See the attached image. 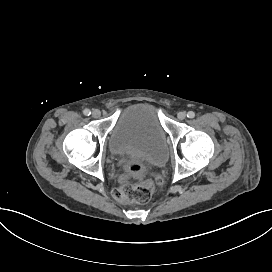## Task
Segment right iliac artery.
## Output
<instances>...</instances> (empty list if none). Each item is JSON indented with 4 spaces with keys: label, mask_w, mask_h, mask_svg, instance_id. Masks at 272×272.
Listing matches in <instances>:
<instances>
[{
    "label": "right iliac artery",
    "mask_w": 272,
    "mask_h": 272,
    "mask_svg": "<svg viewBox=\"0 0 272 272\" xmlns=\"http://www.w3.org/2000/svg\"><path fill=\"white\" fill-rule=\"evenodd\" d=\"M83 113L84 115L89 116L91 114V111L89 109H85Z\"/></svg>",
    "instance_id": "1"
}]
</instances>
